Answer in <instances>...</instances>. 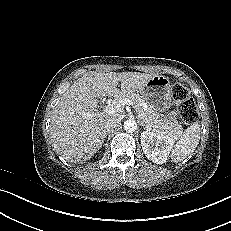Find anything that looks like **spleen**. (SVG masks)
Here are the masks:
<instances>
[{
    "label": "spleen",
    "mask_w": 231,
    "mask_h": 231,
    "mask_svg": "<svg viewBox=\"0 0 231 231\" xmlns=\"http://www.w3.org/2000/svg\"><path fill=\"white\" fill-rule=\"evenodd\" d=\"M200 132L199 123H192L176 143L175 138H173L170 155L173 162H181L195 151L199 144Z\"/></svg>",
    "instance_id": "spleen-1"
}]
</instances>
